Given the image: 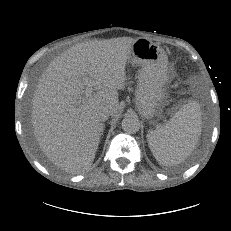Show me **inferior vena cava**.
Returning a JSON list of instances; mask_svg holds the SVG:
<instances>
[{"instance_id":"obj_1","label":"inferior vena cava","mask_w":231,"mask_h":231,"mask_svg":"<svg viewBox=\"0 0 231 231\" xmlns=\"http://www.w3.org/2000/svg\"><path fill=\"white\" fill-rule=\"evenodd\" d=\"M109 115H110V110L105 107L98 112L97 118L99 119V121H106Z\"/></svg>"}]
</instances>
